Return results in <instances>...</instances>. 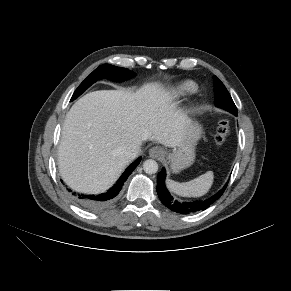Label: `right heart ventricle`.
<instances>
[{"mask_svg": "<svg viewBox=\"0 0 291 291\" xmlns=\"http://www.w3.org/2000/svg\"><path fill=\"white\" fill-rule=\"evenodd\" d=\"M197 90V85L195 82L187 80L178 84L173 90L172 94L176 97L187 96L194 93Z\"/></svg>", "mask_w": 291, "mask_h": 291, "instance_id": "e07e8e85", "label": "right heart ventricle"}]
</instances>
